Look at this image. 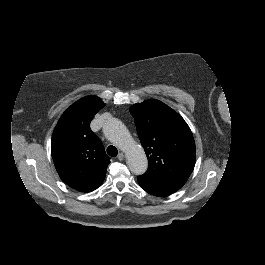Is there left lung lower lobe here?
Returning a JSON list of instances; mask_svg holds the SVG:
<instances>
[{
  "mask_svg": "<svg viewBox=\"0 0 265 265\" xmlns=\"http://www.w3.org/2000/svg\"><path fill=\"white\" fill-rule=\"evenodd\" d=\"M138 183L146 192L158 197L168 196L180 189L158 185L141 177H138Z\"/></svg>",
  "mask_w": 265,
  "mask_h": 265,
  "instance_id": "obj_1",
  "label": "left lung lower lobe"
}]
</instances>
